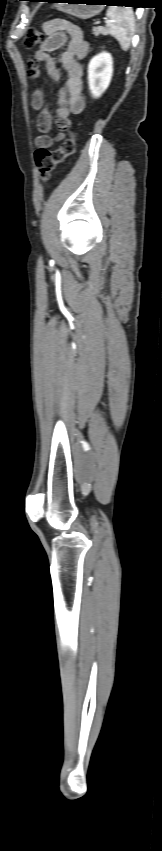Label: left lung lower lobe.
<instances>
[{"label":"left lung lower lobe","instance_id":"1","mask_svg":"<svg viewBox=\"0 0 162 851\" xmlns=\"http://www.w3.org/2000/svg\"><path fill=\"white\" fill-rule=\"evenodd\" d=\"M37 1H41V0H37ZM44 1L55 2L56 0H44ZM103 1L104 2H102V3H106L107 5H119V6H129V4H134V3L137 2L136 0H103Z\"/></svg>","mask_w":162,"mask_h":851}]
</instances>
